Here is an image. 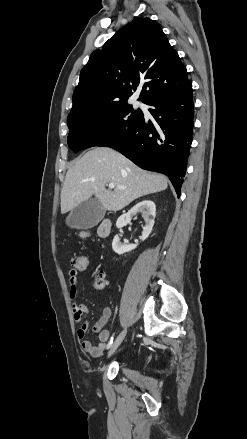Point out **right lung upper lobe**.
<instances>
[{"mask_svg":"<svg viewBox=\"0 0 247 439\" xmlns=\"http://www.w3.org/2000/svg\"><path fill=\"white\" fill-rule=\"evenodd\" d=\"M178 53L159 24L136 18L94 51L80 72L68 117L97 106L128 100L139 84L143 103L191 82Z\"/></svg>","mask_w":247,"mask_h":439,"instance_id":"1","label":"right lung upper lobe"}]
</instances>
